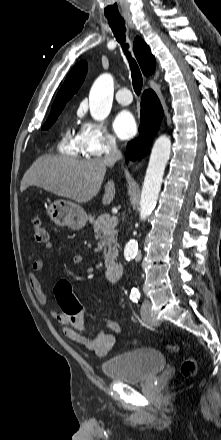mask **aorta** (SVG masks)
Returning <instances> with one entry per match:
<instances>
[{
	"instance_id": "aorta-1",
	"label": "aorta",
	"mask_w": 221,
	"mask_h": 440,
	"mask_svg": "<svg viewBox=\"0 0 221 440\" xmlns=\"http://www.w3.org/2000/svg\"><path fill=\"white\" fill-rule=\"evenodd\" d=\"M114 94L113 77L102 74L94 82L89 94V108L96 121L106 119L111 111ZM171 151V140L167 135H160L155 141L147 167L140 200V219L145 220L153 211L161 189L164 170ZM138 250V242L130 239L125 246L124 256L132 259Z\"/></svg>"
}]
</instances>
